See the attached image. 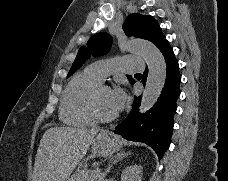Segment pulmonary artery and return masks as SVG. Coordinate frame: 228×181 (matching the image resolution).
I'll return each instance as SVG.
<instances>
[{"label":"pulmonary artery","instance_id":"e3ab8cb5","mask_svg":"<svg viewBox=\"0 0 228 181\" xmlns=\"http://www.w3.org/2000/svg\"><path fill=\"white\" fill-rule=\"evenodd\" d=\"M118 60L120 62H93V65H89L87 75L103 80L107 75H111L112 71H144V66H137L139 57H120ZM122 62H125V66Z\"/></svg>","mask_w":228,"mask_h":181}]
</instances>
